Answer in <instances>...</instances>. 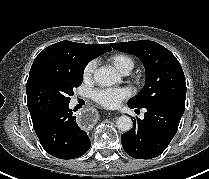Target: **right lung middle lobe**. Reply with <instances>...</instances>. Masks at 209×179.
<instances>
[{
    "label": "right lung middle lobe",
    "mask_w": 209,
    "mask_h": 179,
    "mask_svg": "<svg viewBox=\"0 0 209 179\" xmlns=\"http://www.w3.org/2000/svg\"><path fill=\"white\" fill-rule=\"evenodd\" d=\"M85 66L63 70L41 68L29 75L27 102L33 122L70 102L73 89L82 83Z\"/></svg>",
    "instance_id": "right-lung-middle-lobe-1"
}]
</instances>
